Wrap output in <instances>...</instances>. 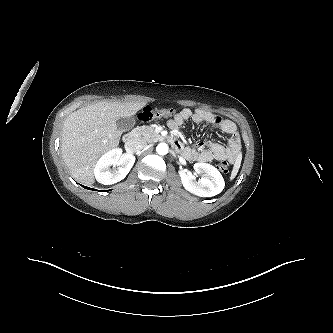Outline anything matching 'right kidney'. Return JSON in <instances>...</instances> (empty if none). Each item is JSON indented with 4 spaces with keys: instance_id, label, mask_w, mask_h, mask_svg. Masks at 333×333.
<instances>
[{
    "instance_id": "ca27d5eb",
    "label": "right kidney",
    "mask_w": 333,
    "mask_h": 333,
    "mask_svg": "<svg viewBox=\"0 0 333 333\" xmlns=\"http://www.w3.org/2000/svg\"><path fill=\"white\" fill-rule=\"evenodd\" d=\"M135 163V157L130 153H123L119 148L112 149L102 155L94 169L96 180L104 185L115 184L123 180ZM111 166H119L110 170Z\"/></svg>"
}]
</instances>
